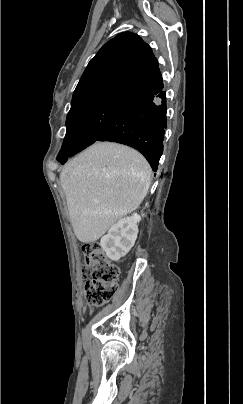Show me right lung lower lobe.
Segmentation results:
<instances>
[{
  "label": "right lung lower lobe",
  "instance_id": "98d812e1",
  "mask_svg": "<svg viewBox=\"0 0 243 404\" xmlns=\"http://www.w3.org/2000/svg\"><path fill=\"white\" fill-rule=\"evenodd\" d=\"M166 94L153 91L126 102L96 141H111L137 149L157 171L166 128Z\"/></svg>",
  "mask_w": 243,
  "mask_h": 404
}]
</instances>
